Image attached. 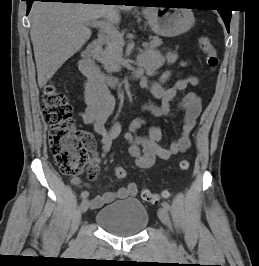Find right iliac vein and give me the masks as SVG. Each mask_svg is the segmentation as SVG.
Instances as JSON below:
<instances>
[{
  "label": "right iliac vein",
  "instance_id": "63e3f726",
  "mask_svg": "<svg viewBox=\"0 0 259 266\" xmlns=\"http://www.w3.org/2000/svg\"><path fill=\"white\" fill-rule=\"evenodd\" d=\"M89 208V201L87 199H84L82 202H81V205H80V210L82 213H85Z\"/></svg>",
  "mask_w": 259,
  "mask_h": 266
}]
</instances>
